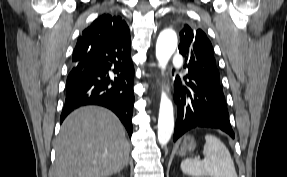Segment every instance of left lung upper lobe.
I'll return each instance as SVG.
<instances>
[{"instance_id":"5c2ea615","label":"left lung upper lobe","mask_w":287,"mask_h":177,"mask_svg":"<svg viewBox=\"0 0 287 177\" xmlns=\"http://www.w3.org/2000/svg\"><path fill=\"white\" fill-rule=\"evenodd\" d=\"M178 49L188 61L187 76L192 77L205 88L221 87L213 47L201 29L188 24L182 25Z\"/></svg>"}]
</instances>
